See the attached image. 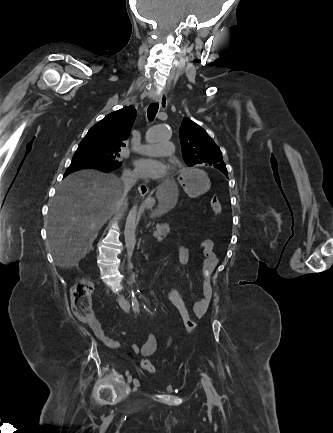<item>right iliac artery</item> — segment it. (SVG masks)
I'll list each match as a JSON object with an SVG mask.
<instances>
[{"label": "right iliac artery", "mask_w": 333, "mask_h": 433, "mask_svg": "<svg viewBox=\"0 0 333 433\" xmlns=\"http://www.w3.org/2000/svg\"><path fill=\"white\" fill-rule=\"evenodd\" d=\"M125 374H126V376H127V375L129 374V371L127 370Z\"/></svg>", "instance_id": "obj_1"}]
</instances>
